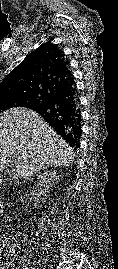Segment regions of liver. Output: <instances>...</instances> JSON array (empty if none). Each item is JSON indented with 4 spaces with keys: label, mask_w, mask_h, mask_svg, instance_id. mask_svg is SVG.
I'll return each instance as SVG.
<instances>
[{
    "label": "liver",
    "mask_w": 118,
    "mask_h": 269,
    "mask_svg": "<svg viewBox=\"0 0 118 269\" xmlns=\"http://www.w3.org/2000/svg\"><path fill=\"white\" fill-rule=\"evenodd\" d=\"M76 154L36 112L13 108L0 114V170L9 164L27 179L48 167L69 166Z\"/></svg>",
    "instance_id": "liver-1"
}]
</instances>
